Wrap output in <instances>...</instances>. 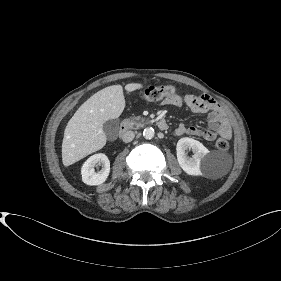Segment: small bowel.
I'll list each match as a JSON object with an SVG mask.
<instances>
[{
	"instance_id": "c3829d8e",
	"label": "small bowel",
	"mask_w": 281,
	"mask_h": 281,
	"mask_svg": "<svg viewBox=\"0 0 281 281\" xmlns=\"http://www.w3.org/2000/svg\"><path fill=\"white\" fill-rule=\"evenodd\" d=\"M163 104L175 107L187 106L193 113L208 114L209 128L201 129L196 126L180 124L174 131L176 136L192 135L212 141L217 136L226 139L232 137V131L225 113L218 103L208 95L172 94L163 100Z\"/></svg>"
}]
</instances>
